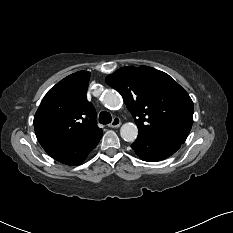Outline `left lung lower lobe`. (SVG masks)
<instances>
[{
    "instance_id": "obj_1",
    "label": "left lung lower lobe",
    "mask_w": 233,
    "mask_h": 233,
    "mask_svg": "<svg viewBox=\"0 0 233 233\" xmlns=\"http://www.w3.org/2000/svg\"><path fill=\"white\" fill-rule=\"evenodd\" d=\"M181 144L158 138L139 135L131 145L135 153L144 161L156 162L174 154Z\"/></svg>"
}]
</instances>
